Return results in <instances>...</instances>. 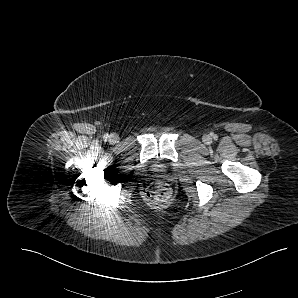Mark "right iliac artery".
<instances>
[{"label":"right iliac artery","instance_id":"obj_1","mask_svg":"<svg viewBox=\"0 0 298 298\" xmlns=\"http://www.w3.org/2000/svg\"><path fill=\"white\" fill-rule=\"evenodd\" d=\"M103 137H104V139H108L109 138V135L108 134H105Z\"/></svg>","mask_w":298,"mask_h":298}]
</instances>
